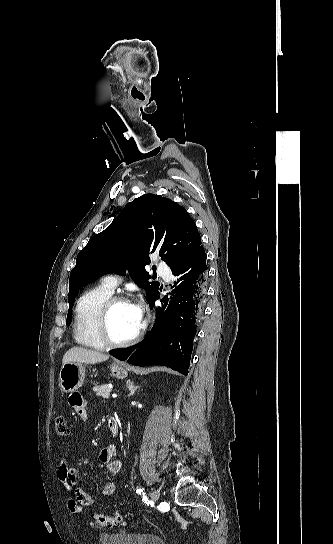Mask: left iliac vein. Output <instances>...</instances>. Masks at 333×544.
I'll return each mask as SVG.
<instances>
[{"label": "left iliac vein", "mask_w": 333, "mask_h": 544, "mask_svg": "<svg viewBox=\"0 0 333 544\" xmlns=\"http://www.w3.org/2000/svg\"><path fill=\"white\" fill-rule=\"evenodd\" d=\"M150 496L153 502H157L160 497V492L158 490H154Z\"/></svg>", "instance_id": "1"}]
</instances>
